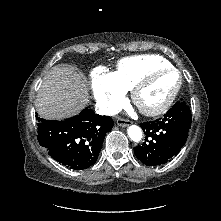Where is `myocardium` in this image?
<instances>
[{"mask_svg": "<svg viewBox=\"0 0 221 221\" xmlns=\"http://www.w3.org/2000/svg\"><path fill=\"white\" fill-rule=\"evenodd\" d=\"M164 73H175L177 75V84L172 90L171 94L163 103H161L156 107H145L141 105L139 102V96L141 92L146 87H148L158 76ZM181 86H182V76L178 69L172 66L156 68L148 72L145 76H143L133 87L131 91L132 101L142 114L147 116H157L164 113L173 104L176 97L178 96Z\"/></svg>", "mask_w": 221, "mask_h": 221, "instance_id": "myocardium-1", "label": "myocardium"}]
</instances>
